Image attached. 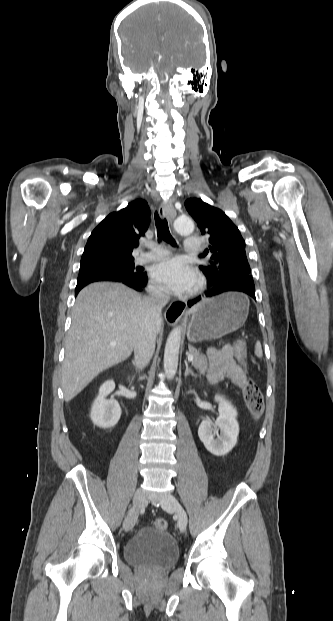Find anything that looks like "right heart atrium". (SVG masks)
<instances>
[{"label":"right heart atrium","mask_w":333,"mask_h":621,"mask_svg":"<svg viewBox=\"0 0 333 621\" xmlns=\"http://www.w3.org/2000/svg\"><path fill=\"white\" fill-rule=\"evenodd\" d=\"M150 291L152 292V294H154L155 296H159V297L163 296V294H164L163 290L160 287L156 286V285H151L150 286Z\"/></svg>","instance_id":"obj_1"}]
</instances>
